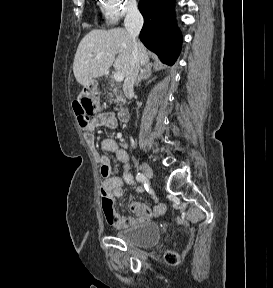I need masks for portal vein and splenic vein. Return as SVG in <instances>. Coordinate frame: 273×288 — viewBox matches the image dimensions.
<instances>
[{"instance_id": "portal-vein-and-splenic-vein-1", "label": "portal vein and splenic vein", "mask_w": 273, "mask_h": 288, "mask_svg": "<svg viewBox=\"0 0 273 288\" xmlns=\"http://www.w3.org/2000/svg\"><path fill=\"white\" fill-rule=\"evenodd\" d=\"M113 77L117 82H121L124 79V75L121 72H116Z\"/></svg>"}]
</instances>
